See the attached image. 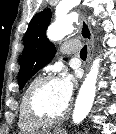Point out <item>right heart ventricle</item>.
<instances>
[{
	"label": "right heart ventricle",
	"instance_id": "1",
	"mask_svg": "<svg viewBox=\"0 0 116 134\" xmlns=\"http://www.w3.org/2000/svg\"><path fill=\"white\" fill-rule=\"evenodd\" d=\"M39 77H34L25 87L19 104V114H18V126L22 132L25 133H34L40 130L44 124L33 120L27 110L25 105L26 96L31 89V87L38 81Z\"/></svg>",
	"mask_w": 116,
	"mask_h": 134
}]
</instances>
